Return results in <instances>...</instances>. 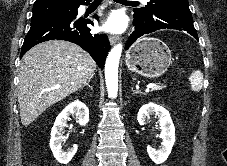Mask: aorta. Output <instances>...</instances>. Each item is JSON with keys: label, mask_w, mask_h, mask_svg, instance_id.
I'll use <instances>...</instances> for the list:
<instances>
[{"label": "aorta", "mask_w": 227, "mask_h": 166, "mask_svg": "<svg viewBox=\"0 0 227 166\" xmlns=\"http://www.w3.org/2000/svg\"><path fill=\"white\" fill-rule=\"evenodd\" d=\"M123 46L117 44L109 52L105 63V80L108 95L115 99L118 93V65L121 57Z\"/></svg>", "instance_id": "aorta-1"}]
</instances>
